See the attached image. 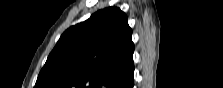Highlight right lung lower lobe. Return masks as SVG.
<instances>
[{"label": "right lung lower lobe", "mask_w": 223, "mask_h": 88, "mask_svg": "<svg viewBox=\"0 0 223 88\" xmlns=\"http://www.w3.org/2000/svg\"><path fill=\"white\" fill-rule=\"evenodd\" d=\"M133 85H134V80L131 83H129V85L127 86V88H133Z\"/></svg>", "instance_id": "obj_1"}]
</instances>
